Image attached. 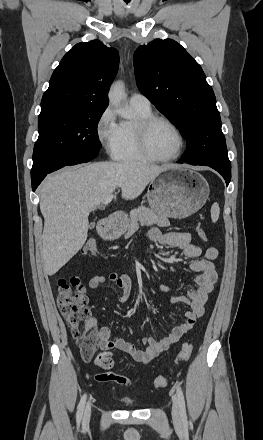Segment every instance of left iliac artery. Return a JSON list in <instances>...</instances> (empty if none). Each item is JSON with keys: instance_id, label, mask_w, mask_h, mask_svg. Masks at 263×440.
<instances>
[{"instance_id": "left-iliac-artery-1", "label": "left iliac artery", "mask_w": 263, "mask_h": 440, "mask_svg": "<svg viewBox=\"0 0 263 440\" xmlns=\"http://www.w3.org/2000/svg\"><path fill=\"white\" fill-rule=\"evenodd\" d=\"M176 389H177V396H178L179 404L181 407L182 421L184 423H186L187 418H186V407H185L184 394H183L180 387L177 386Z\"/></svg>"}]
</instances>
